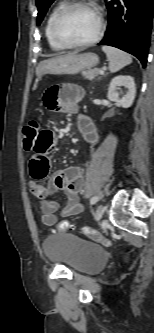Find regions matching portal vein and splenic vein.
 I'll return each mask as SVG.
<instances>
[{"label": "portal vein and splenic vein", "mask_w": 154, "mask_h": 333, "mask_svg": "<svg viewBox=\"0 0 154 333\" xmlns=\"http://www.w3.org/2000/svg\"><path fill=\"white\" fill-rule=\"evenodd\" d=\"M99 73H100L101 75H103V74H104V70H100Z\"/></svg>", "instance_id": "portal-vein-and-splenic-vein-1"}]
</instances>
